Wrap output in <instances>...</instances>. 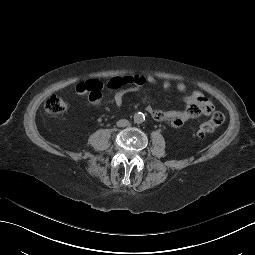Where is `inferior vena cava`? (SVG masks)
<instances>
[{
	"label": "inferior vena cava",
	"mask_w": 255,
	"mask_h": 255,
	"mask_svg": "<svg viewBox=\"0 0 255 255\" xmlns=\"http://www.w3.org/2000/svg\"><path fill=\"white\" fill-rule=\"evenodd\" d=\"M116 125L118 127H126L129 125V121L127 119H120L119 121H117Z\"/></svg>",
	"instance_id": "602c4592"
}]
</instances>
